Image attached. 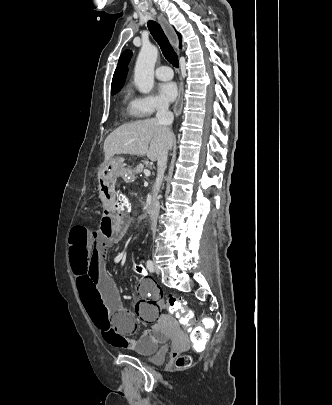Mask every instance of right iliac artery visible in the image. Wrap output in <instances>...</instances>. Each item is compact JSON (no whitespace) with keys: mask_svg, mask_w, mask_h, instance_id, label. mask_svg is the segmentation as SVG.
Listing matches in <instances>:
<instances>
[{"mask_svg":"<svg viewBox=\"0 0 332 405\" xmlns=\"http://www.w3.org/2000/svg\"><path fill=\"white\" fill-rule=\"evenodd\" d=\"M146 266H147V269H148L150 272H154V264H153V262H152L151 260H148V261H147Z\"/></svg>","mask_w":332,"mask_h":405,"instance_id":"1","label":"right iliac artery"}]
</instances>
